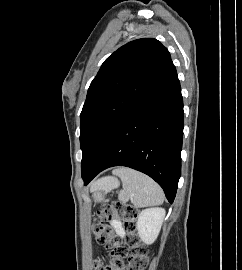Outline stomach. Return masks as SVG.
Wrapping results in <instances>:
<instances>
[{"label":"stomach","instance_id":"1","mask_svg":"<svg viewBox=\"0 0 242 270\" xmlns=\"http://www.w3.org/2000/svg\"><path fill=\"white\" fill-rule=\"evenodd\" d=\"M118 182L116 180H110L108 183H104L102 185H95L94 187V197L96 200L101 201L103 200V195L109 189L116 187Z\"/></svg>","mask_w":242,"mask_h":270}]
</instances>
